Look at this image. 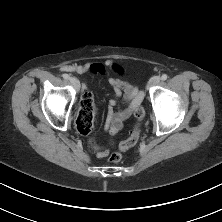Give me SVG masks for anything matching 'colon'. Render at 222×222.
<instances>
[{
    "mask_svg": "<svg viewBox=\"0 0 222 222\" xmlns=\"http://www.w3.org/2000/svg\"><path fill=\"white\" fill-rule=\"evenodd\" d=\"M96 114V107L93 99V95L89 91H84L80 99V108L76 118V128L79 133L87 135L92 128L93 121ZM145 111L143 107H138L135 111V117L138 122L144 118ZM140 137L139 127H135L131 132V135L126 140L119 144V149L125 151L137 144ZM122 159L120 152H114L110 155L109 161L112 163L119 162Z\"/></svg>",
    "mask_w": 222,
    "mask_h": 222,
    "instance_id": "obj_1",
    "label": "colon"
}]
</instances>
